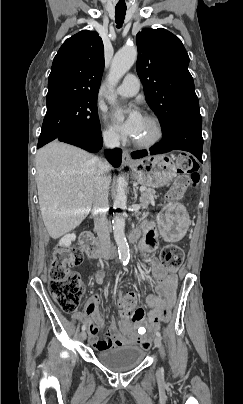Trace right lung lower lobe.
I'll return each instance as SVG.
<instances>
[{
  "label": "right lung lower lobe",
  "mask_w": 243,
  "mask_h": 404,
  "mask_svg": "<svg viewBox=\"0 0 243 404\" xmlns=\"http://www.w3.org/2000/svg\"><path fill=\"white\" fill-rule=\"evenodd\" d=\"M56 140L78 146L89 152H98L103 145L101 132L93 133L78 129H67L61 132L56 137ZM105 153L106 158L114 167L120 166L122 160L121 149L116 148Z\"/></svg>",
  "instance_id": "1"
}]
</instances>
